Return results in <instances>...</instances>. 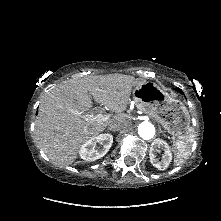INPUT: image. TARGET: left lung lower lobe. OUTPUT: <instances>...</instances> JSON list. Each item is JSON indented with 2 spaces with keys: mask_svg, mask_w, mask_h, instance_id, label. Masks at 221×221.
<instances>
[{
  "mask_svg": "<svg viewBox=\"0 0 221 221\" xmlns=\"http://www.w3.org/2000/svg\"><path fill=\"white\" fill-rule=\"evenodd\" d=\"M175 90L184 95L183 91L180 88H175Z\"/></svg>",
  "mask_w": 221,
  "mask_h": 221,
  "instance_id": "left-lung-lower-lobe-1",
  "label": "left lung lower lobe"
}]
</instances>
